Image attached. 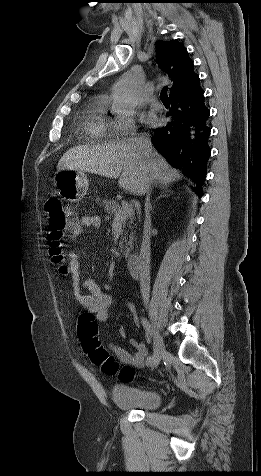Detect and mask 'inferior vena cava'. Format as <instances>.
Returning a JSON list of instances; mask_svg holds the SVG:
<instances>
[{
  "instance_id": "inferior-vena-cava-1",
  "label": "inferior vena cava",
  "mask_w": 261,
  "mask_h": 476,
  "mask_svg": "<svg viewBox=\"0 0 261 476\" xmlns=\"http://www.w3.org/2000/svg\"><path fill=\"white\" fill-rule=\"evenodd\" d=\"M128 139V142H131L135 145L137 149V155L140 158L149 157V153L151 152V142L149 139L146 138H136L133 136ZM146 172H148V168L146 167ZM144 189L143 193L148 195L151 184L152 178L149 174H146L143 179ZM150 208L149 204L145 203V221H144V230H143V239L139 254V261H138V269H139V277H140V290L142 300L145 305L149 302V293H150V235H151V219H150Z\"/></svg>"
}]
</instances>
